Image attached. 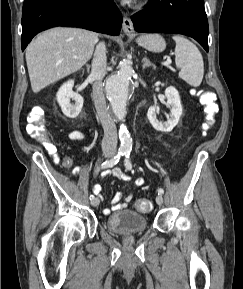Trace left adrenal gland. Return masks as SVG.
Wrapping results in <instances>:
<instances>
[{"mask_svg": "<svg viewBox=\"0 0 243 289\" xmlns=\"http://www.w3.org/2000/svg\"><path fill=\"white\" fill-rule=\"evenodd\" d=\"M142 63H143V65H142V68H143V69H145L146 67H153V68L155 69V65L152 64V63L149 61V59H147V57L143 58Z\"/></svg>", "mask_w": 243, "mask_h": 289, "instance_id": "obj_1", "label": "left adrenal gland"}]
</instances>
